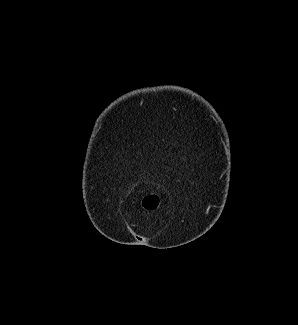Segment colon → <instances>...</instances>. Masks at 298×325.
<instances>
[{
	"mask_svg": "<svg viewBox=\"0 0 298 325\" xmlns=\"http://www.w3.org/2000/svg\"><path fill=\"white\" fill-rule=\"evenodd\" d=\"M159 196L157 194H147L141 197L140 204L147 210H155L159 206Z\"/></svg>",
	"mask_w": 298,
	"mask_h": 325,
	"instance_id": "1",
	"label": "colon"
}]
</instances>
